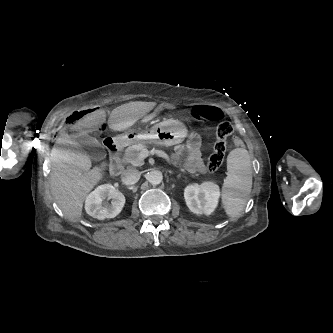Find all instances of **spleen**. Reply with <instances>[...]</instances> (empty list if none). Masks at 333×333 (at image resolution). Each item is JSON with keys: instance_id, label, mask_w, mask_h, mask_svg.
Returning a JSON list of instances; mask_svg holds the SVG:
<instances>
[{"instance_id": "obj_1", "label": "spleen", "mask_w": 333, "mask_h": 333, "mask_svg": "<svg viewBox=\"0 0 333 333\" xmlns=\"http://www.w3.org/2000/svg\"><path fill=\"white\" fill-rule=\"evenodd\" d=\"M227 215L235 218L243 211L252 188L251 157L245 148L232 150L227 158V177L222 187Z\"/></svg>"}]
</instances>
